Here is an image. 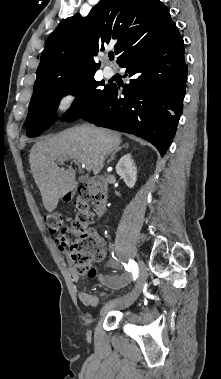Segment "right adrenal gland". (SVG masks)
Wrapping results in <instances>:
<instances>
[{
    "label": "right adrenal gland",
    "instance_id": "right-adrenal-gland-1",
    "mask_svg": "<svg viewBox=\"0 0 221 379\" xmlns=\"http://www.w3.org/2000/svg\"><path fill=\"white\" fill-rule=\"evenodd\" d=\"M125 146H127V144L115 147L111 154V158L107 161V163L109 164L112 160H114L116 153L119 152Z\"/></svg>",
    "mask_w": 221,
    "mask_h": 379
}]
</instances>
